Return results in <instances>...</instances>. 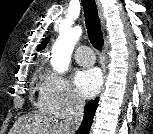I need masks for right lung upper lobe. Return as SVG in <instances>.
Listing matches in <instances>:
<instances>
[{
	"instance_id": "cb5924a9",
	"label": "right lung upper lobe",
	"mask_w": 153,
	"mask_h": 134,
	"mask_svg": "<svg viewBox=\"0 0 153 134\" xmlns=\"http://www.w3.org/2000/svg\"><path fill=\"white\" fill-rule=\"evenodd\" d=\"M49 39H50L49 37L45 38V39L41 42V44L38 45L37 50H38V51L43 50V49L46 47L47 43L49 42Z\"/></svg>"
}]
</instances>
